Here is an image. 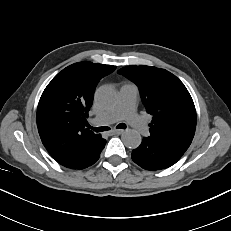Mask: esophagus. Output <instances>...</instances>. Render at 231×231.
Wrapping results in <instances>:
<instances>
[{"mask_svg":"<svg viewBox=\"0 0 231 231\" xmlns=\"http://www.w3.org/2000/svg\"><path fill=\"white\" fill-rule=\"evenodd\" d=\"M111 133L112 134H122V133H124V130H122V129H115V130H112Z\"/></svg>","mask_w":231,"mask_h":231,"instance_id":"34e87169","label":"esophagus"}]
</instances>
